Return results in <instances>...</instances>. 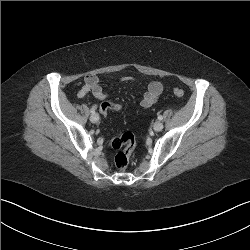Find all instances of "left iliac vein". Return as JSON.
Listing matches in <instances>:
<instances>
[{
  "mask_svg": "<svg viewBox=\"0 0 250 250\" xmlns=\"http://www.w3.org/2000/svg\"><path fill=\"white\" fill-rule=\"evenodd\" d=\"M163 127H164L163 123H161L159 121L155 122L153 125V129L157 132L161 131L163 129Z\"/></svg>",
  "mask_w": 250,
  "mask_h": 250,
  "instance_id": "left-iliac-vein-1",
  "label": "left iliac vein"
}]
</instances>
